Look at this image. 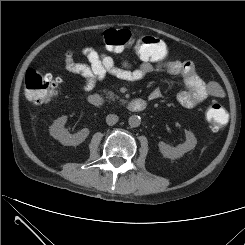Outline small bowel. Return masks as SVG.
<instances>
[{
	"instance_id": "c3829d8e",
	"label": "small bowel",
	"mask_w": 245,
	"mask_h": 245,
	"mask_svg": "<svg viewBox=\"0 0 245 245\" xmlns=\"http://www.w3.org/2000/svg\"><path fill=\"white\" fill-rule=\"evenodd\" d=\"M82 54L88 60V64L77 63L71 50L65 53V69L84 78L83 91L89 92L106 75H112L127 82H137L156 71H165L170 75L182 77L185 89L176 95L177 102L187 108H192L202 103L208 97L222 96V89L213 82L204 81L196 71L193 62L188 60L173 59L162 64L141 62L135 66L124 60L116 65L112 57L102 54L91 47L82 49ZM160 97V91L154 90L150 94L151 99Z\"/></svg>"
}]
</instances>
